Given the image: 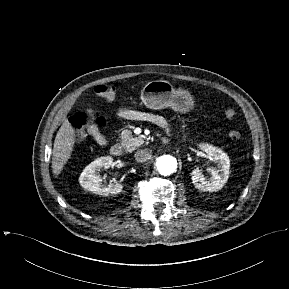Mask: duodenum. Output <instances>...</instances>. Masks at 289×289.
Listing matches in <instances>:
<instances>
[{
  "label": "duodenum",
  "mask_w": 289,
  "mask_h": 289,
  "mask_svg": "<svg viewBox=\"0 0 289 289\" xmlns=\"http://www.w3.org/2000/svg\"><path fill=\"white\" fill-rule=\"evenodd\" d=\"M123 153L122 147L119 144H114L110 147V154L114 157H119Z\"/></svg>",
  "instance_id": "duodenum-1"
}]
</instances>
